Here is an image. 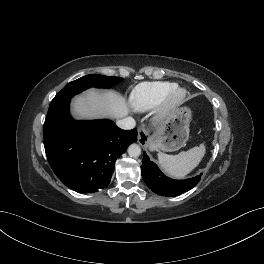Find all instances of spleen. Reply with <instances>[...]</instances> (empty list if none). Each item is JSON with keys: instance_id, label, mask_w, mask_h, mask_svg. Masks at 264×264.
<instances>
[{"instance_id": "spleen-1", "label": "spleen", "mask_w": 264, "mask_h": 264, "mask_svg": "<svg viewBox=\"0 0 264 264\" xmlns=\"http://www.w3.org/2000/svg\"><path fill=\"white\" fill-rule=\"evenodd\" d=\"M206 152L205 143L177 155H158L159 164L170 177L181 179L189 174L201 162Z\"/></svg>"}]
</instances>
